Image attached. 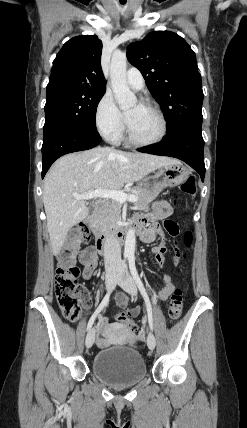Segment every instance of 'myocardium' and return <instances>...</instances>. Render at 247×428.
Returning a JSON list of instances; mask_svg holds the SVG:
<instances>
[{"instance_id": "obj_1", "label": "myocardium", "mask_w": 247, "mask_h": 428, "mask_svg": "<svg viewBox=\"0 0 247 428\" xmlns=\"http://www.w3.org/2000/svg\"><path fill=\"white\" fill-rule=\"evenodd\" d=\"M140 104L151 109L157 115V117L160 121L161 130H160L159 135L152 140H140V139H137L133 135V133L131 132V129H130L127 121H126V134H127L128 140L136 146H153V145L161 143L165 139L167 132H168V123H167V119H166L164 113L162 112V110L158 106H156L155 104H153L149 101H141Z\"/></svg>"}]
</instances>
